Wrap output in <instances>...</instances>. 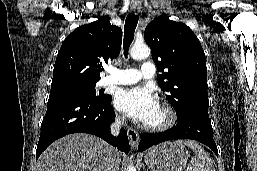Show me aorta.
Segmentation results:
<instances>
[{"mask_svg": "<svg viewBox=\"0 0 257 171\" xmlns=\"http://www.w3.org/2000/svg\"><path fill=\"white\" fill-rule=\"evenodd\" d=\"M130 54L133 59L142 60L149 57L150 49L145 44H135L132 47ZM128 171H136V169L131 165L129 166Z\"/></svg>", "mask_w": 257, "mask_h": 171, "instance_id": "aorta-1", "label": "aorta"}]
</instances>
